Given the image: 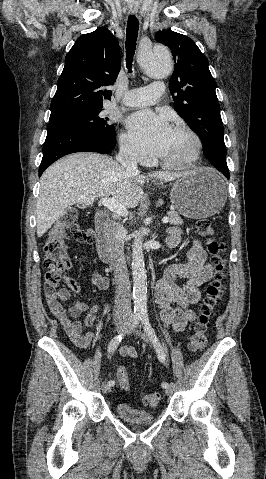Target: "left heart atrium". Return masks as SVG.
<instances>
[{
  "mask_svg": "<svg viewBox=\"0 0 266 479\" xmlns=\"http://www.w3.org/2000/svg\"><path fill=\"white\" fill-rule=\"evenodd\" d=\"M126 124L132 138L142 148L158 156L165 152L173 129L164 116L142 110L130 115Z\"/></svg>",
  "mask_w": 266,
  "mask_h": 479,
  "instance_id": "39dd6f15",
  "label": "left heart atrium"
}]
</instances>
